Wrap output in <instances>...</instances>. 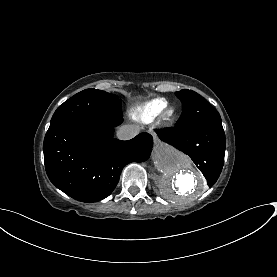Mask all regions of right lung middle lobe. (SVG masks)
I'll list each match as a JSON object with an SVG mask.
<instances>
[{"instance_id":"right-lung-middle-lobe-1","label":"right lung middle lobe","mask_w":277,"mask_h":277,"mask_svg":"<svg viewBox=\"0 0 277 277\" xmlns=\"http://www.w3.org/2000/svg\"><path fill=\"white\" fill-rule=\"evenodd\" d=\"M119 115H122L121 102L116 95L97 89H86L58 107L48 130L76 119Z\"/></svg>"}]
</instances>
